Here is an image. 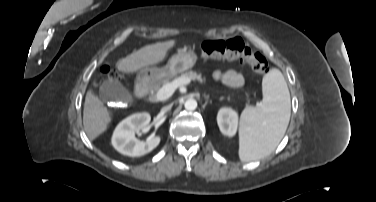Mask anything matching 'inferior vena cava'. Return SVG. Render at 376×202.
<instances>
[{
	"instance_id": "1",
	"label": "inferior vena cava",
	"mask_w": 376,
	"mask_h": 202,
	"mask_svg": "<svg viewBox=\"0 0 376 202\" xmlns=\"http://www.w3.org/2000/svg\"><path fill=\"white\" fill-rule=\"evenodd\" d=\"M170 109V106H165V107H163V109H162V112H167L168 110Z\"/></svg>"
}]
</instances>
